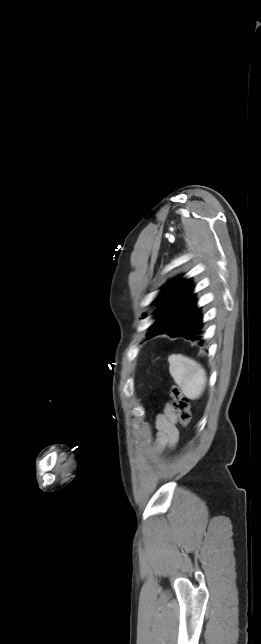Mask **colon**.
I'll list each match as a JSON object with an SVG mask.
<instances>
[{
    "label": "colon",
    "instance_id": "colon-1",
    "mask_svg": "<svg viewBox=\"0 0 261 644\" xmlns=\"http://www.w3.org/2000/svg\"><path fill=\"white\" fill-rule=\"evenodd\" d=\"M171 397L173 399V407L177 414L179 423L182 426H187L192 417L190 401L187 396H185L180 388L176 385H173L171 388Z\"/></svg>",
    "mask_w": 261,
    "mask_h": 644
}]
</instances>
